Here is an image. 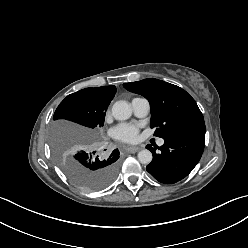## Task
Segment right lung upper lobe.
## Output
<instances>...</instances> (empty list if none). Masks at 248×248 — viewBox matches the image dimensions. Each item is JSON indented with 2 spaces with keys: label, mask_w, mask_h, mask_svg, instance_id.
Masks as SVG:
<instances>
[{
  "label": "right lung upper lobe",
  "mask_w": 248,
  "mask_h": 248,
  "mask_svg": "<svg viewBox=\"0 0 248 248\" xmlns=\"http://www.w3.org/2000/svg\"><path fill=\"white\" fill-rule=\"evenodd\" d=\"M88 93H91L93 95H97L109 100H112L115 93H116V87L115 86H102L97 88H86L85 89Z\"/></svg>",
  "instance_id": "right-lung-upper-lobe-1"
}]
</instances>
